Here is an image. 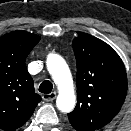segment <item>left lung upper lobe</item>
<instances>
[{
	"instance_id": "5c2ea615",
	"label": "left lung upper lobe",
	"mask_w": 131,
	"mask_h": 131,
	"mask_svg": "<svg viewBox=\"0 0 131 131\" xmlns=\"http://www.w3.org/2000/svg\"><path fill=\"white\" fill-rule=\"evenodd\" d=\"M73 50L77 62V105L68 114L80 131H94L108 124L119 112L127 92L124 64L102 40L77 32Z\"/></svg>"
}]
</instances>
